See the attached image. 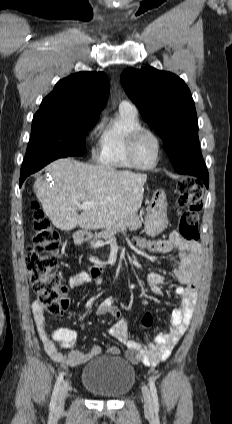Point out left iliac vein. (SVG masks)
Segmentation results:
<instances>
[{
	"instance_id": "left-iliac-vein-1",
	"label": "left iliac vein",
	"mask_w": 232,
	"mask_h": 424,
	"mask_svg": "<svg viewBox=\"0 0 232 424\" xmlns=\"http://www.w3.org/2000/svg\"><path fill=\"white\" fill-rule=\"evenodd\" d=\"M142 396L144 402V410L147 414L151 415L153 413V403L150 390L147 386L142 387Z\"/></svg>"
}]
</instances>
